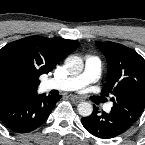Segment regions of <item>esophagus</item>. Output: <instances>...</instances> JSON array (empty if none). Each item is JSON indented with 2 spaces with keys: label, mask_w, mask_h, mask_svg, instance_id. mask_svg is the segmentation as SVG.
<instances>
[{
  "label": "esophagus",
  "mask_w": 145,
  "mask_h": 145,
  "mask_svg": "<svg viewBox=\"0 0 145 145\" xmlns=\"http://www.w3.org/2000/svg\"><path fill=\"white\" fill-rule=\"evenodd\" d=\"M70 100L74 103V104H78L79 102H81L83 99L80 96H76V95H72L70 97Z\"/></svg>",
  "instance_id": "34e87169"
}]
</instances>
